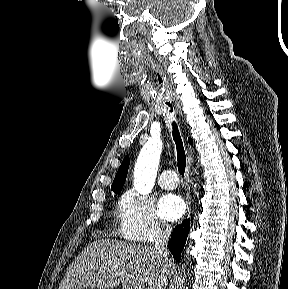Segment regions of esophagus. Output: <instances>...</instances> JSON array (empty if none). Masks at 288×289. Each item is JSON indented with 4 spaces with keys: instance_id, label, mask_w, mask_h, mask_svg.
<instances>
[{
    "instance_id": "esophagus-1",
    "label": "esophagus",
    "mask_w": 288,
    "mask_h": 289,
    "mask_svg": "<svg viewBox=\"0 0 288 289\" xmlns=\"http://www.w3.org/2000/svg\"><path fill=\"white\" fill-rule=\"evenodd\" d=\"M177 107L179 108V104L177 105ZM179 113L182 115L180 110H179ZM191 162H192V157L189 154L188 158H187L186 176H185V179H186L187 182H189V174H190V171H191ZM186 203H187L186 217H189L190 213H191V196H190V191L189 190L186 192Z\"/></svg>"
}]
</instances>
